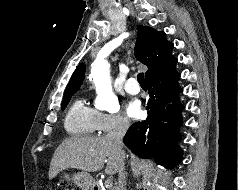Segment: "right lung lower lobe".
<instances>
[{
  "instance_id": "1",
  "label": "right lung lower lobe",
  "mask_w": 238,
  "mask_h": 190,
  "mask_svg": "<svg viewBox=\"0 0 238 190\" xmlns=\"http://www.w3.org/2000/svg\"><path fill=\"white\" fill-rule=\"evenodd\" d=\"M177 59L160 73L146 80L149 99L145 121L134 123L124 136V144L139 156L154 157L165 165L175 167L181 160L182 152L177 142L180 140L179 127L183 121L179 102L182 89L177 80L180 75L175 70ZM172 102V105H166ZM179 151V154H177Z\"/></svg>"
}]
</instances>
